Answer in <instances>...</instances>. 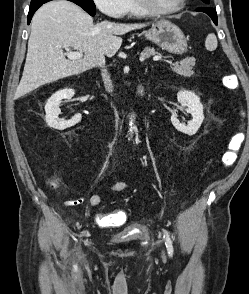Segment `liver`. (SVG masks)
Masks as SVG:
<instances>
[{
    "label": "liver",
    "mask_w": 249,
    "mask_h": 294,
    "mask_svg": "<svg viewBox=\"0 0 249 294\" xmlns=\"http://www.w3.org/2000/svg\"><path fill=\"white\" fill-rule=\"evenodd\" d=\"M144 23L123 24L103 21L96 25L79 6L66 0L44 4L33 16L28 51L15 97L59 79L101 66L105 56L119 50L124 35L145 27ZM84 53L81 59H66L63 49Z\"/></svg>",
    "instance_id": "liver-1"
}]
</instances>
